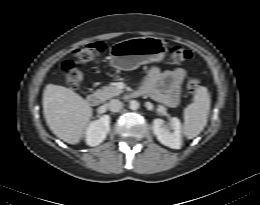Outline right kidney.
I'll use <instances>...</instances> for the list:
<instances>
[{"label": "right kidney", "instance_id": "1", "mask_svg": "<svg viewBox=\"0 0 260 205\" xmlns=\"http://www.w3.org/2000/svg\"><path fill=\"white\" fill-rule=\"evenodd\" d=\"M110 131V117L103 115L98 120L89 124L86 133L85 140L89 146H97L102 143L108 132Z\"/></svg>", "mask_w": 260, "mask_h": 205}]
</instances>
